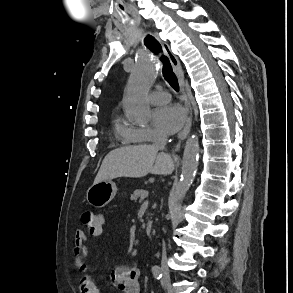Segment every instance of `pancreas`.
Listing matches in <instances>:
<instances>
[{
    "instance_id": "pancreas-1",
    "label": "pancreas",
    "mask_w": 293,
    "mask_h": 293,
    "mask_svg": "<svg viewBox=\"0 0 293 293\" xmlns=\"http://www.w3.org/2000/svg\"><path fill=\"white\" fill-rule=\"evenodd\" d=\"M145 192H147V191L144 190V189H138V190H135V191L133 192V194L130 196V200H132V201H137L138 198H141V196H142Z\"/></svg>"
}]
</instances>
